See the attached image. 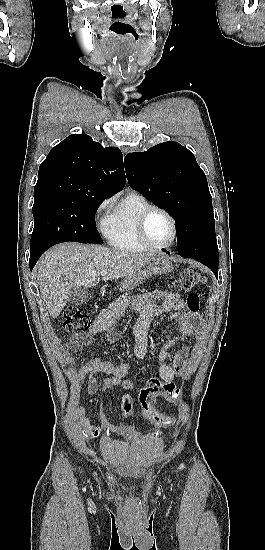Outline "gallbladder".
Masks as SVG:
<instances>
[{"label": "gallbladder", "instance_id": "gallbladder-1", "mask_svg": "<svg viewBox=\"0 0 265 550\" xmlns=\"http://www.w3.org/2000/svg\"><path fill=\"white\" fill-rule=\"evenodd\" d=\"M91 298V293L85 287H73L68 293V301L74 305L86 304Z\"/></svg>", "mask_w": 265, "mask_h": 550}]
</instances>
